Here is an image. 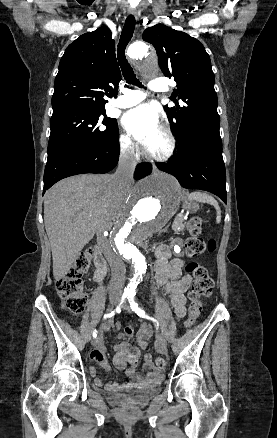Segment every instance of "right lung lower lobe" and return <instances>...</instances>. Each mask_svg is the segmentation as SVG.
Segmentation results:
<instances>
[{
    "label": "right lung lower lobe",
    "instance_id": "98d812e1",
    "mask_svg": "<svg viewBox=\"0 0 277 438\" xmlns=\"http://www.w3.org/2000/svg\"><path fill=\"white\" fill-rule=\"evenodd\" d=\"M119 142L90 149L73 150L47 160L43 194L57 181L82 173H107L118 163ZM151 171L149 163L137 165L134 178L141 179Z\"/></svg>",
    "mask_w": 277,
    "mask_h": 438
}]
</instances>
